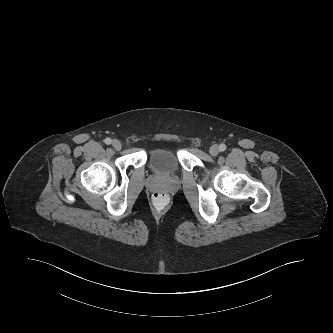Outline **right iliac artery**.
Instances as JSON below:
<instances>
[{
    "mask_svg": "<svg viewBox=\"0 0 333 333\" xmlns=\"http://www.w3.org/2000/svg\"><path fill=\"white\" fill-rule=\"evenodd\" d=\"M104 142H105V144L109 145V144H111L112 140L110 138H106L104 140Z\"/></svg>",
    "mask_w": 333,
    "mask_h": 333,
    "instance_id": "right-iliac-artery-1",
    "label": "right iliac artery"
}]
</instances>
